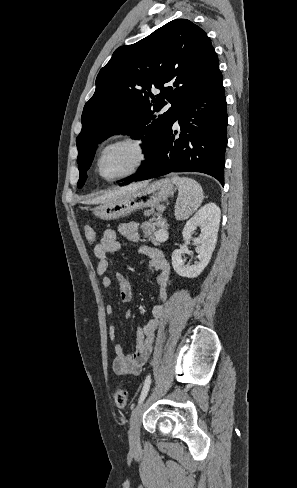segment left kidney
<instances>
[{
  "mask_svg": "<svg viewBox=\"0 0 297 488\" xmlns=\"http://www.w3.org/2000/svg\"><path fill=\"white\" fill-rule=\"evenodd\" d=\"M220 209L215 203H209L199 209L195 215L186 223L182 235L184 240L191 238L192 232L199 226L201 237L194 240L198 245V261L194 264H185L182 259L183 249L174 250L172 253V266L174 271L182 277H197L208 265L212 252L217 241V234L220 224Z\"/></svg>",
  "mask_w": 297,
  "mask_h": 488,
  "instance_id": "5707ae66",
  "label": "left kidney"
}]
</instances>
